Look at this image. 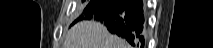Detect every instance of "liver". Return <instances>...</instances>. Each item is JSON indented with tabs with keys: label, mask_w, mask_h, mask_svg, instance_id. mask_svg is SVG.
I'll list each match as a JSON object with an SVG mask.
<instances>
[{
	"label": "liver",
	"mask_w": 213,
	"mask_h": 48,
	"mask_svg": "<svg viewBox=\"0 0 213 48\" xmlns=\"http://www.w3.org/2000/svg\"><path fill=\"white\" fill-rule=\"evenodd\" d=\"M63 48H129L121 38L111 35L96 21H80L67 33Z\"/></svg>",
	"instance_id": "6515ba94"
}]
</instances>
